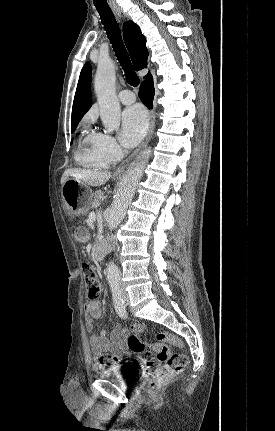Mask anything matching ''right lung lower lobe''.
Listing matches in <instances>:
<instances>
[{"label":"right lung lower lobe","instance_id":"obj_1","mask_svg":"<svg viewBox=\"0 0 275 431\" xmlns=\"http://www.w3.org/2000/svg\"><path fill=\"white\" fill-rule=\"evenodd\" d=\"M154 92L153 77L152 75H149L142 82L139 91V97L142 103L148 108H152L153 106Z\"/></svg>","mask_w":275,"mask_h":431}]
</instances>
